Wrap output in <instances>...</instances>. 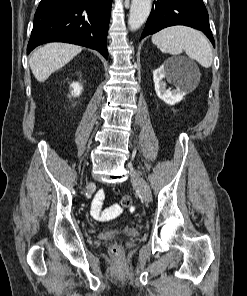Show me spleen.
Returning <instances> with one entry per match:
<instances>
[{
    "mask_svg": "<svg viewBox=\"0 0 247 296\" xmlns=\"http://www.w3.org/2000/svg\"><path fill=\"white\" fill-rule=\"evenodd\" d=\"M152 42L163 52L179 55L183 51L196 60L201 66L209 68L213 62V54L208 39L190 27L172 26L152 36Z\"/></svg>",
    "mask_w": 247,
    "mask_h": 296,
    "instance_id": "1",
    "label": "spleen"
}]
</instances>
